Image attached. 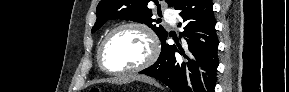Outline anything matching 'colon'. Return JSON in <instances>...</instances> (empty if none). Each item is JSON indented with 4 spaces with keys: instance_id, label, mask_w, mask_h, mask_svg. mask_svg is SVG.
I'll list each match as a JSON object with an SVG mask.
<instances>
[{
    "instance_id": "colon-1",
    "label": "colon",
    "mask_w": 289,
    "mask_h": 92,
    "mask_svg": "<svg viewBox=\"0 0 289 92\" xmlns=\"http://www.w3.org/2000/svg\"><path fill=\"white\" fill-rule=\"evenodd\" d=\"M90 92H100V90L98 88H92Z\"/></svg>"
}]
</instances>
